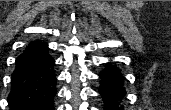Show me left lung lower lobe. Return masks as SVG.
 <instances>
[{"instance_id":"1","label":"left lung lower lobe","mask_w":171,"mask_h":110,"mask_svg":"<svg viewBox=\"0 0 171 110\" xmlns=\"http://www.w3.org/2000/svg\"><path fill=\"white\" fill-rule=\"evenodd\" d=\"M99 76L101 79L99 93L104 101V110H124L121 102L126 91L121 71L109 63Z\"/></svg>"}]
</instances>
